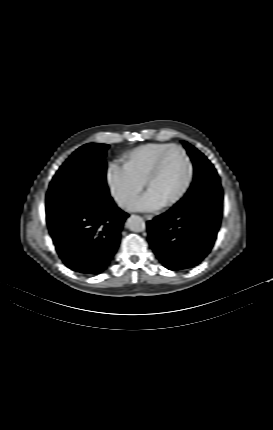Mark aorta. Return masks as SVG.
Returning <instances> with one entry per match:
<instances>
[{
	"label": "aorta",
	"instance_id": "obj_1",
	"mask_svg": "<svg viewBox=\"0 0 273 430\" xmlns=\"http://www.w3.org/2000/svg\"><path fill=\"white\" fill-rule=\"evenodd\" d=\"M126 227L133 232H142L146 225L144 220L137 215H131L126 221Z\"/></svg>",
	"mask_w": 273,
	"mask_h": 430
}]
</instances>
